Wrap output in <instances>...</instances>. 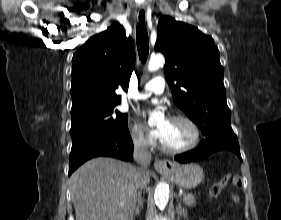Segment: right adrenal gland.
I'll return each instance as SVG.
<instances>
[{
  "label": "right adrenal gland",
  "instance_id": "right-adrenal-gland-1",
  "mask_svg": "<svg viewBox=\"0 0 281 220\" xmlns=\"http://www.w3.org/2000/svg\"><path fill=\"white\" fill-rule=\"evenodd\" d=\"M143 204H144V201H143L142 195H141V193H138L136 207H135V215H139L140 209L143 208Z\"/></svg>",
  "mask_w": 281,
  "mask_h": 220
}]
</instances>
